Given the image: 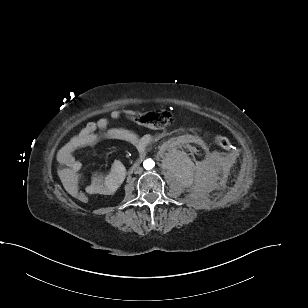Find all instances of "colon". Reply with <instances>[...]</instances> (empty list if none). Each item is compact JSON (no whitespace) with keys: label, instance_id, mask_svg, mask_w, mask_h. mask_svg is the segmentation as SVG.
<instances>
[{"label":"colon","instance_id":"1","mask_svg":"<svg viewBox=\"0 0 308 308\" xmlns=\"http://www.w3.org/2000/svg\"><path fill=\"white\" fill-rule=\"evenodd\" d=\"M129 117L138 125L153 130L165 129L172 123L173 120L172 114L167 110L146 113H130ZM215 141L217 145L223 149L228 150L231 147L230 140L225 136L218 135ZM73 196L82 204H86L89 201V195L84 190L77 191Z\"/></svg>","mask_w":308,"mask_h":308}]
</instances>
